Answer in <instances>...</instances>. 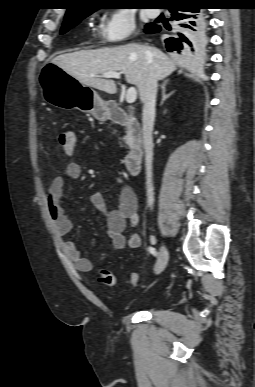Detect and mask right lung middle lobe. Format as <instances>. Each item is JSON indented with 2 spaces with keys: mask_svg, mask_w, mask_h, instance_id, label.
Instances as JSON below:
<instances>
[{
  "mask_svg": "<svg viewBox=\"0 0 255 387\" xmlns=\"http://www.w3.org/2000/svg\"><path fill=\"white\" fill-rule=\"evenodd\" d=\"M93 12H94V10L93 11H88V12H85V13H82V14H75V15H67V16H65L64 22H63V25H62V28H61V31H60V34L66 33L69 29H71L72 27L77 25L82 19H84L88 15L92 14ZM148 25H152V23H150ZM148 25H146V26H148Z\"/></svg>",
  "mask_w": 255,
  "mask_h": 387,
  "instance_id": "dd1d6c3e",
  "label": "right lung middle lobe"
}]
</instances>
